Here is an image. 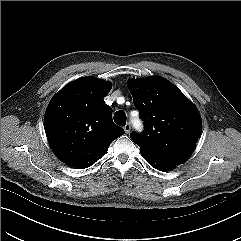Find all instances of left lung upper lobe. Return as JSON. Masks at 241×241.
<instances>
[{"label":"left lung upper lobe","instance_id":"obj_1","mask_svg":"<svg viewBox=\"0 0 241 241\" xmlns=\"http://www.w3.org/2000/svg\"><path fill=\"white\" fill-rule=\"evenodd\" d=\"M145 131L130 134L140 152L174 165L184 163L201 135L195 106L172 83L153 76L128 83Z\"/></svg>","mask_w":241,"mask_h":241}]
</instances>
